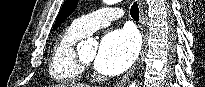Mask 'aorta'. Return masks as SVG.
<instances>
[{
	"label": "aorta",
	"instance_id": "obj_1",
	"mask_svg": "<svg viewBox=\"0 0 205 87\" xmlns=\"http://www.w3.org/2000/svg\"><path fill=\"white\" fill-rule=\"evenodd\" d=\"M117 1H118V0H104V3H106V4H108V5H111V4L116 3ZM90 43H91V41H90V40H87V41L82 42L81 44H82L83 46H89ZM130 87H137V84H136L135 82H132V83L130 84Z\"/></svg>",
	"mask_w": 205,
	"mask_h": 87
}]
</instances>
